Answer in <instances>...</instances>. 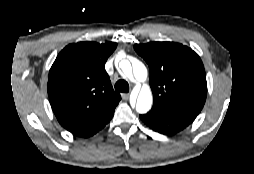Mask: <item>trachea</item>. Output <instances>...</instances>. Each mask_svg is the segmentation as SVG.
Wrapping results in <instances>:
<instances>
[{
    "mask_svg": "<svg viewBox=\"0 0 254 174\" xmlns=\"http://www.w3.org/2000/svg\"><path fill=\"white\" fill-rule=\"evenodd\" d=\"M115 89L119 92H129V84L125 80H118L115 84Z\"/></svg>",
    "mask_w": 254,
    "mask_h": 174,
    "instance_id": "trachea-1",
    "label": "trachea"
}]
</instances>
